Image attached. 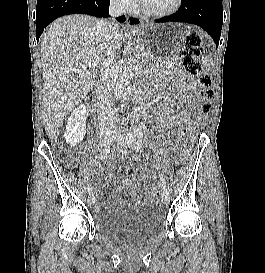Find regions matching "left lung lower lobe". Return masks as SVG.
I'll return each mask as SVG.
<instances>
[{
    "instance_id": "left-lung-lower-lobe-1",
    "label": "left lung lower lobe",
    "mask_w": 265,
    "mask_h": 273,
    "mask_svg": "<svg viewBox=\"0 0 265 273\" xmlns=\"http://www.w3.org/2000/svg\"><path fill=\"white\" fill-rule=\"evenodd\" d=\"M155 22L196 24L202 27L218 46L223 24L222 0H182L181 7L175 14Z\"/></svg>"
}]
</instances>
